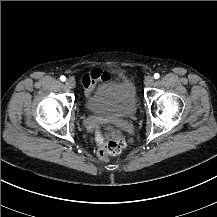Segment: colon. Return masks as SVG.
<instances>
[{
    "mask_svg": "<svg viewBox=\"0 0 217 217\" xmlns=\"http://www.w3.org/2000/svg\"><path fill=\"white\" fill-rule=\"evenodd\" d=\"M115 127L111 124L107 125L105 130L107 132H114ZM124 139L120 138L118 136H115L110 142H108L100 151V157L102 159H105L106 157L110 155H115L121 151V149L124 147Z\"/></svg>",
    "mask_w": 217,
    "mask_h": 217,
    "instance_id": "colon-1",
    "label": "colon"
}]
</instances>
